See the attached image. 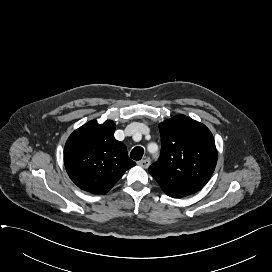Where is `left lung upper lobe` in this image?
Instances as JSON below:
<instances>
[{"instance_id":"5c2ea615","label":"left lung upper lobe","mask_w":272,"mask_h":272,"mask_svg":"<svg viewBox=\"0 0 272 272\" xmlns=\"http://www.w3.org/2000/svg\"><path fill=\"white\" fill-rule=\"evenodd\" d=\"M161 154L148 171L170 197L182 198L203 188L217 163L210 130L185 115L159 124Z\"/></svg>"}]
</instances>
